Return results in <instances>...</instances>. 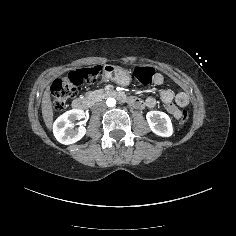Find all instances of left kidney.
Listing matches in <instances>:
<instances>
[{
  "label": "left kidney",
  "mask_w": 236,
  "mask_h": 236,
  "mask_svg": "<svg viewBox=\"0 0 236 236\" xmlns=\"http://www.w3.org/2000/svg\"><path fill=\"white\" fill-rule=\"evenodd\" d=\"M150 129L156 135L169 137L173 134V127L169 116L161 111H149L146 115Z\"/></svg>",
  "instance_id": "left-kidney-1"
}]
</instances>
